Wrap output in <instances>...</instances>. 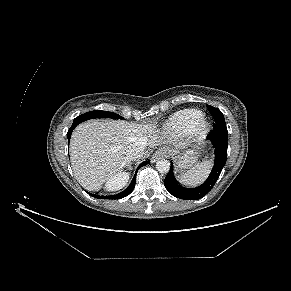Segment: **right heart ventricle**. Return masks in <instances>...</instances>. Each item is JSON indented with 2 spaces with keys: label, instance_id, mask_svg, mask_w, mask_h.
I'll return each instance as SVG.
<instances>
[{
  "label": "right heart ventricle",
  "instance_id": "right-heart-ventricle-1",
  "mask_svg": "<svg viewBox=\"0 0 291 291\" xmlns=\"http://www.w3.org/2000/svg\"><path fill=\"white\" fill-rule=\"evenodd\" d=\"M204 119V113L197 109H185L174 113L164 124L168 132L184 135L192 132Z\"/></svg>",
  "mask_w": 291,
  "mask_h": 291
}]
</instances>
